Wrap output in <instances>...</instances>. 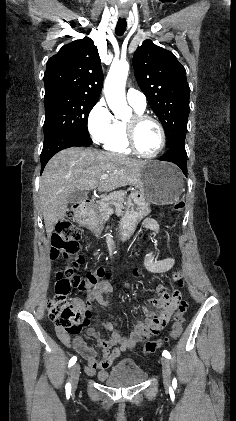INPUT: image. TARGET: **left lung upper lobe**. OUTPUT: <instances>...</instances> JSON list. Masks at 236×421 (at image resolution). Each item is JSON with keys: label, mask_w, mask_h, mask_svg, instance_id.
Masks as SVG:
<instances>
[{"label": "left lung upper lobe", "mask_w": 236, "mask_h": 421, "mask_svg": "<svg viewBox=\"0 0 236 421\" xmlns=\"http://www.w3.org/2000/svg\"><path fill=\"white\" fill-rule=\"evenodd\" d=\"M133 67L139 87L164 127L166 147L184 142L190 110L185 68L172 52L150 40L137 48Z\"/></svg>", "instance_id": "left-lung-upper-lobe-1"}]
</instances>
